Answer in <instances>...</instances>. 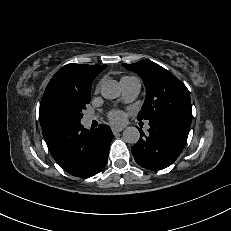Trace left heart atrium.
<instances>
[{
  "mask_svg": "<svg viewBox=\"0 0 231 231\" xmlns=\"http://www.w3.org/2000/svg\"><path fill=\"white\" fill-rule=\"evenodd\" d=\"M109 119L112 123L120 124L124 121V114L120 111H113L109 114Z\"/></svg>",
  "mask_w": 231,
  "mask_h": 231,
  "instance_id": "39dd6f15",
  "label": "left heart atrium"
}]
</instances>
